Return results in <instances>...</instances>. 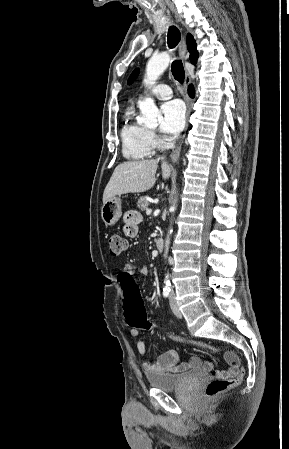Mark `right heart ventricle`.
Returning <instances> with one entry per match:
<instances>
[{
  "mask_svg": "<svg viewBox=\"0 0 289 449\" xmlns=\"http://www.w3.org/2000/svg\"><path fill=\"white\" fill-rule=\"evenodd\" d=\"M121 139L122 151L127 158L144 159L153 152L148 130L136 121L132 110H129L125 115L121 129Z\"/></svg>",
  "mask_w": 289,
  "mask_h": 449,
  "instance_id": "obj_1",
  "label": "right heart ventricle"
}]
</instances>
